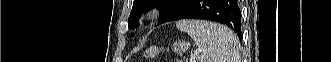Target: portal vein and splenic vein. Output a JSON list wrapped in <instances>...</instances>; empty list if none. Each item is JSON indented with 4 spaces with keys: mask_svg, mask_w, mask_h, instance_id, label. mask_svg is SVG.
I'll use <instances>...</instances> for the list:
<instances>
[{
    "mask_svg": "<svg viewBox=\"0 0 331 62\" xmlns=\"http://www.w3.org/2000/svg\"><path fill=\"white\" fill-rule=\"evenodd\" d=\"M201 51V49H197L194 54H192L191 58H190V62H195V59L197 57V55L199 54V52Z\"/></svg>",
    "mask_w": 331,
    "mask_h": 62,
    "instance_id": "portal-vein-and-splenic-vein-1",
    "label": "portal vein and splenic vein"
}]
</instances>
